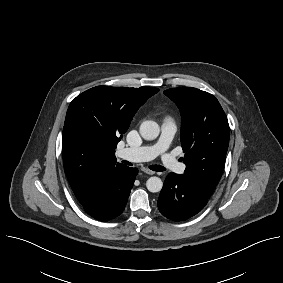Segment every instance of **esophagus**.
I'll return each mask as SVG.
<instances>
[{
    "instance_id": "obj_1",
    "label": "esophagus",
    "mask_w": 283,
    "mask_h": 283,
    "mask_svg": "<svg viewBox=\"0 0 283 283\" xmlns=\"http://www.w3.org/2000/svg\"><path fill=\"white\" fill-rule=\"evenodd\" d=\"M142 171L146 174H149V175H153L155 174L154 171L150 170V169H147V168H142Z\"/></svg>"
}]
</instances>
